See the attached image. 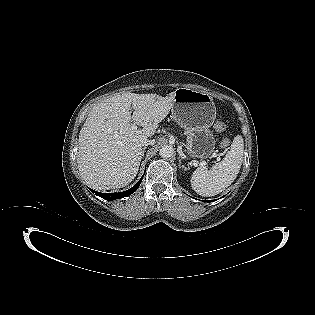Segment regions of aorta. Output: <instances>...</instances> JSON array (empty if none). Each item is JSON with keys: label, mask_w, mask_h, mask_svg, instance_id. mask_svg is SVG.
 Masks as SVG:
<instances>
[{"label": "aorta", "mask_w": 315, "mask_h": 315, "mask_svg": "<svg viewBox=\"0 0 315 315\" xmlns=\"http://www.w3.org/2000/svg\"><path fill=\"white\" fill-rule=\"evenodd\" d=\"M174 149L171 145H165L159 150V154L162 158H169L173 155Z\"/></svg>", "instance_id": "aorta-1"}]
</instances>
